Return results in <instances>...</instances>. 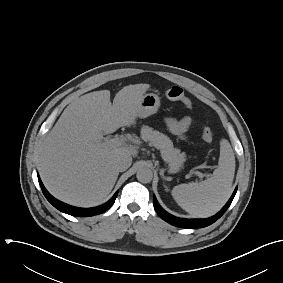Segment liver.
<instances>
[{"label":"liver","mask_w":283,"mask_h":283,"mask_svg":"<svg viewBox=\"0 0 283 283\" xmlns=\"http://www.w3.org/2000/svg\"><path fill=\"white\" fill-rule=\"evenodd\" d=\"M149 84L85 94L72 101L40 147L39 172L47 190L74 206H92L111 192L119 171L115 162L136 156L133 146L108 147L103 135L136 122V109Z\"/></svg>","instance_id":"1"}]
</instances>
